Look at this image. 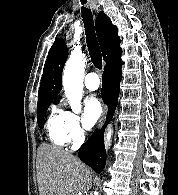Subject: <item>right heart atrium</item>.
<instances>
[{
  "instance_id": "1",
  "label": "right heart atrium",
  "mask_w": 178,
  "mask_h": 195,
  "mask_svg": "<svg viewBox=\"0 0 178 195\" xmlns=\"http://www.w3.org/2000/svg\"><path fill=\"white\" fill-rule=\"evenodd\" d=\"M65 112V129L69 140L73 143H79L83 137L84 132L81 127L80 117L72 111Z\"/></svg>"
}]
</instances>
